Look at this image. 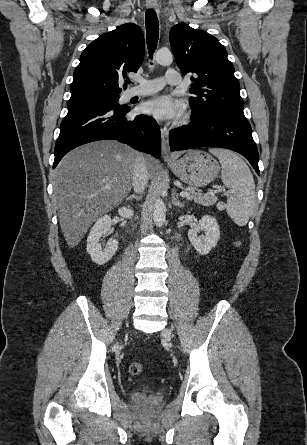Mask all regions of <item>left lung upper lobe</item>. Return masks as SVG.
I'll use <instances>...</instances> for the list:
<instances>
[{
	"mask_svg": "<svg viewBox=\"0 0 307 445\" xmlns=\"http://www.w3.org/2000/svg\"><path fill=\"white\" fill-rule=\"evenodd\" d=\"M170 44L183 74L192 72L195 78L190 93L191 120L215 114L244 117V102L234 67L226 49L212 35L179 23L170 30Z\"/></svg>",
	"mask_w": 307,
	"mask_h": 445,
	"instance_id": "obj_1",
	"label": "left lung upper lobe"
}]
</instances>
